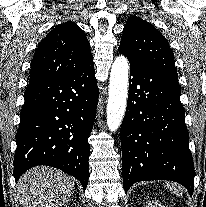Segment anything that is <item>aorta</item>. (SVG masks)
I'll return each mask as SVG.
<instances>
[{
	"mask_svg": "<svg viewBox=\"0 0 206 207\" xmlns=\"http://www.w3.org/2000/svg\"><path fill=\"white\" fill-rule=\"evenodd\" d=\"M128 60L118 56L110 73L109 97L107 103V126L115 132L121 125L127 104L128 95Z\"/></svg>",
	"mask_w": 206,
	"mask_h": 207,
	"instance_id": "762f6f07",
	"label": "aorta"
}]
</instances>
